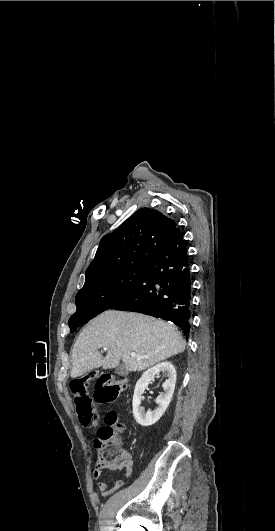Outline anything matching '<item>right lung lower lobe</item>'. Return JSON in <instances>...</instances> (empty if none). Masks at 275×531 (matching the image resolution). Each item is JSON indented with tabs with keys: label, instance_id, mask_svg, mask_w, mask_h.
I'll use <instances>...</instances> for the list:
<instances>
[{
	"label": "right lung lower lobe",
	"instance_id": "1",
	"mask_svg": "<svg viewBox=\"0 0 275 531\" xmlns=\"http://www.w3.org/2000/svg\"><path fill=\"white\" fill-rule=\"evenodd\" d=\"M110 309L169 320L189 337L192 318L190 265L179 228L146 265L140 280L127 296Z\"/></svg>",
	"mask_w": 275,
	"mask_h": 531
}]
</instances>
